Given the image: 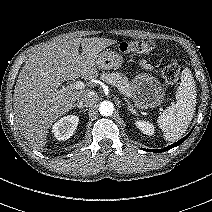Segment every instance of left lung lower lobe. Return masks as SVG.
<instances>
[{"label":"left lung lower lobe","instance_id":"0a47b994","mask_svg":"<svg viewBox=\"0 0 212 212\" xmlns=\"http://www.w3.org/2000/svg\"><path fill=\"white\" fill-rule=\"evenodd\" d=\"M190 133L187 136H185L184 138H182L181 140H179L178 142H176L168 147H165L163 149H158V150H152V151L153 152H164V151L170 150L171 148L176 147V146L180 145L181 143H183L187 139V137L190 135ZM143 150L150 151L149 149H143Z\"/></svg>","mask_w":212,"mask_h":212}]
</instances>
